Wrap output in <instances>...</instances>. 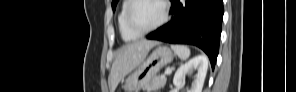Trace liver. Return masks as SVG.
I'll return each instance as SVG.
<instances>
[{
  "mask_svg": "<svg viewBox=\"0 0 296 92\" xmlns=\"http://www.w3.org/2000/svg\"><path fill=\"white\" fill-rule=\"evenodd\" d=\"M158 42L141 40L121 47L114 58L110 72V92H114L119 82L130 72L140 66L150 49Z\"/></svg>",
  "mask_w": 296,
  "mask_h": 92,
  "instance_id": "1",
  "label": "liver"
}]
</instances>
